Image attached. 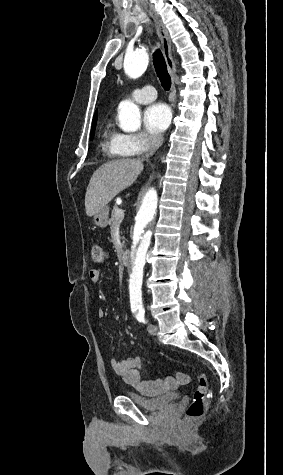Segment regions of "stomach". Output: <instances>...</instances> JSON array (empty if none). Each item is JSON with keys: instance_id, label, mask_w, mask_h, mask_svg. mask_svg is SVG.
I'll use <instances>...</instances> for the list:
<instances>
[{"instance_id": "obj_1", "label": "stomach", "mask_w": 283, "mask_h": 475, "mask_svg": "<svg viewBox=\"0 0 283 475\" xmlns=\"http://www.w3.org/2000/svg\"><path fill=\"white\" fill-rule=\"evenodd\" d=\"M108 218H109V208L108 206H105V208H102L98 214H95L94 216V222L96 226H99V228H106L108 224Z\"/></svg>"}]
</instances>
